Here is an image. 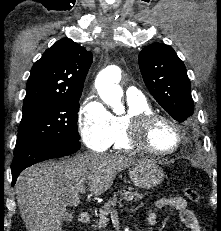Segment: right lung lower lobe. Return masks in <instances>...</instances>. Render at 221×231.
Segmentation results:
<instances>
[{
    "label": "right lung lower lobe",
    "instance_id": "1",
    "mask_svg": "<svg viewBox=\"0 0 221 231\" xmlns=\"http://www.w3.org/2000/svg\"><path fill=\"white\" fill-rule=\"evenodd\" d=\"M81 147L80 142L46 141L36 143L14 154L12 163V185L15 184L18 175L25 168L52 158H58L75 153Z\"/></svg>",
    "mask_w": 221,
    "mask_h": 231
}]
</instances>
